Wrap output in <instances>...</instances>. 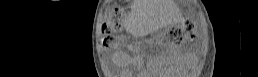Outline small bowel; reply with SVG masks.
<instances>
[{
	"instance_id": "small-bowel-1",
	"label": "small bowel",
	"mask_w": 258,
	"mask_h": 77,
	"mask_svg": "<svg viewBox=\"0 0 258 77\" xmlns=\"http://www.w3.org/2000/svg\"><path fill=\"white\" fill-rule=\"evenodd\" d=\"M118 57L122 56V53L117 54ZM128 63L130 66H140L141 65V59L136 58V57H131L128 59Z\"/></svg>"
}]
</instances>
